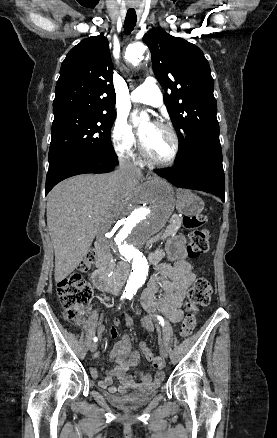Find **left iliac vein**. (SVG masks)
Listing matches in <instances>:
<instances>
[{"mask_svg":"<svg viewBox=\"0 0 277 438\" xmlns=\"http://www.w3.org/2000/svg\"><path fill=\"white\" fill-rule=\"evenodd\" d=\"M160 352H161V355H162L164 358H167V357H168L169 350H168V347H167V345H166L165 343H162V344H161Z\"/></svg>","mask_w":277,"mask_h":438,"instance_id":"left-iliac-vein-1","label":"left iliac vein"}]
</instances>
